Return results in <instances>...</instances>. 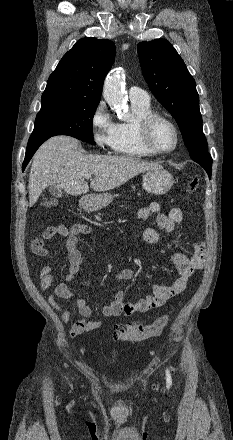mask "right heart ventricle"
Here are the masks:
<instances>
[{
  "label": "right heart ventricle",
  "instance_id": "right-heart-ventricle-1",
  "mask_svg": "<svg viewBox=\"0 0 233 440\" xmlns=\"http://www.w3.org/2000/svg\"><path fill=\"white\" fill-rule=\"evenodd\" d=\"M133 118L130 121L115 123L114 127V151L122 156L130 158H145L154 154L147 151L141 144L137 123L144 116L153 113L150 103L132 102Z\"/></svg>",
  "mask_w": 233,
  "mask_h": 440
}]
</instances>
